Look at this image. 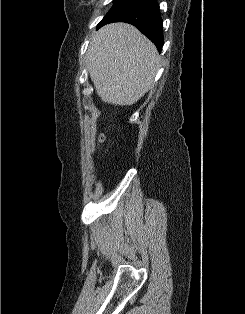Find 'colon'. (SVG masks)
Returning a JSON list of instances; mask_svg holds the SVG:
<instances>
[{"mask_svg":"<svg viewBox=\"0 0 245 314\" xmlns=\"http://www.w3.org/2000/svg\"><path fill=\"white\" fill-rule=\"evenodd\" d=\"M108 140V136L106 134H102L100 137L101 142H106Z\"/></svg>","mask_w":245,"mask_h":314,"instance_id":"colon-1","label":"colon"}]
</instances>
